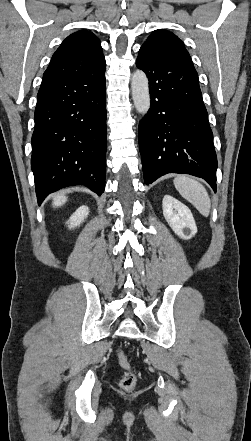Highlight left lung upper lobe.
Listing matches in <instances>:
<instances>
[{
  "mask_svg": "<svg viewBox=\"0 0 251 441\" xmlns=\"http://www.w3.org/2000/svg\"><path fill=\"white\" fill-rule=\"evenodd\" d=\"M140 49L161 57L175 58L193 66L191 57L183 42L176 35L166 30L154 31Z\"/></svg>",
  "mask_w": 251,
  "mask_h": 441,
  "instance_id": "left-lung-upper-lobe-1",
  "label": "left lung upper lobe"
}]
</instances>
